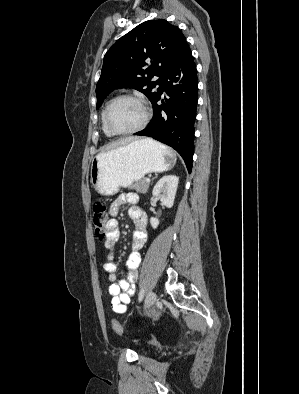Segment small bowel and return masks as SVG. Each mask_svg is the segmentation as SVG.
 <instances>
[{
  "label": "small bowel",
  "mask_w": 299,
  "mask_h": 394,
  "mask_svg": "<svg viewBox=\"0 0 299 394\" xmlns=\"http://www.w3.org/2000/svg\"><path fill=\"white\" fill-rule=\"evenodd\" d=\"M138 195L133 192L124 193L118 196L110 206L111 218L106 224V240L104 243L107 252V261L104 270L108 275L110 284L108 292L112 296V308L116 313H125L131 297L135 294V281L138 276V267L141 260L139 250L143 247L147 239V216L144 210L138 205ZM129 204L128 216L133 220L135 230L132 239V252L126 261L127 273L125 278L116 281L117 265L114 262L115 245L120 237L118 221L115 219L122 206Z\"/></svg>",
  "instance_id": "small-bowel-1"
}]
</instances>
